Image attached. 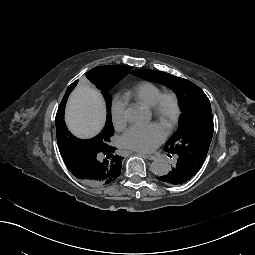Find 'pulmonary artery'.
Segmentation results:
<instances>
[{
  "label": "pulmonary artery",
  "instance_id": "pulmonary-artery-1",
  "mask_svg": "<svg viewBox=\"0 0 255 255\" xmlns=\"http://www.w3.org/2000/svg\"><path fill=\"white\" fill-rule=\"evenodd\" d=\"M170 160H171L172 162H177V161L179 160V155H178L177 153H172V154L170 155Z\"/></svg>",
  "mask_w": 255,
  "mask_h": 255
}]
</instances>
